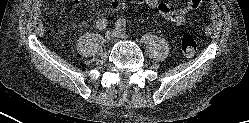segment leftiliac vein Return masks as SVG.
<instances>
[{
	"label": "left iliac vein",
	"instance_id": "1",
	"mask_svg": "<svg viewBox=\"0 0 249 123\" xmlns=\"http://www.w3.org/2000/svg\"><path fill=\"white\" fill-rule=\"evenodd\" d=\"M114 35L116 37H118V38H121V39H127L128 38V36L123 31L118 30V29L114 31Z\"/></svg>",
	"mask_w": 249,
	"mask_h": 123
}]
</instances>
